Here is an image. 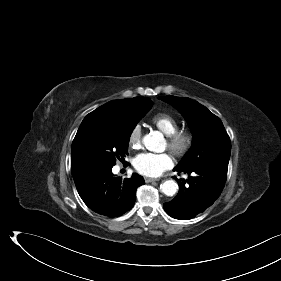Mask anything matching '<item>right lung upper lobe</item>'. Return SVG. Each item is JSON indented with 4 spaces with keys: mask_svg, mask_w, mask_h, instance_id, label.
Segmentation results:
<instances>
[{
    "mask_svg": "<svg viewBox=\"0 0 281 281\" xmlns=\"http://www.w3.org/2000/svg\"><path fill=\"white\" fill-rule=\"evenodd\" d=\"M146 98L135 97L129 99L113 100L110 101L96 110L89 113L82 121L77 134L72 142V153H71V172L72 175L77 174L84 169L81 168L77 161L76 147L80 138V134L89 122L94 121H111L124 118L130 112L138 108L144 103Z\"/></svg>",
    "mask_w": 281,
    "mask_h": 281,
    "instance_id": "obj_1",
    "label": "right lung upper lobe"
}]
</instances>
